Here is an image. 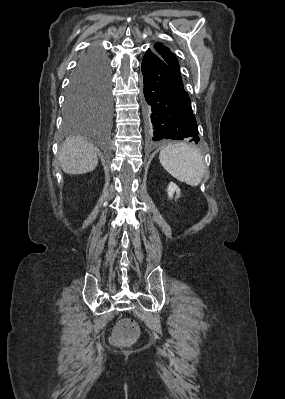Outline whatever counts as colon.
<instances>
[{"label": "colon", "mask_w": 285, "mask_h": 399, "mask_svg": "<svg viewBox=\"0 0 285 399\" xmlns=\"http://www.w3.org/2000/svg\"><path fill=\"white\" fill-rule=\"evenodd\" d=\"M140 335L138 326L133 322H122L118 324L113 333V341L118 344L134 342Z\"/></svg>", "instance_id": "5ec220e1"}]
</instances>
